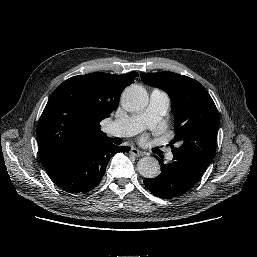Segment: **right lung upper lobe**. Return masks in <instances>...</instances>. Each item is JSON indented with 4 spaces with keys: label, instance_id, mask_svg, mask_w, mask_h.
Returning <instances> with one entry per match:
<instances>
[{
    "label": "right lung upper lobe",
    "instance_id": "obj_1",
    "mask_svg": "<svg viewBox=\"0 0 257 257\" xmlns=\"http://www.w3.org/2000/svg\"><path fill=\"white\" fill-rule=\"evenodd\" d=\"M138 75L90 73L60 84L37 126L42 165L73 148L108 140L99 123L117 109L121 92Z\"/></svg>",
    "mask_w": 257,
    "mask_h": 257
}]
</instances>
